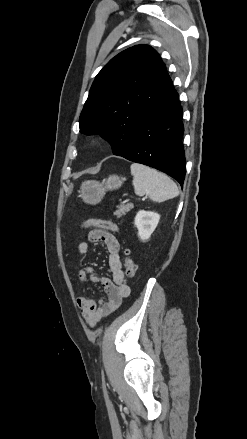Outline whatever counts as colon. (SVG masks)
<instances>
[{"instance_id":"obj_1","label":"colon","mask_w":247,"mask_h":439,"mask_svg":"<svg viewBox=\"0 0 247 439\" xmlns=\"http://www.w3.org/2000/svg\"><path fill=\"white\" fill-rule=\"evenodd\" d=\"M97 227L111 231H118V226L111 221L101 219H88L82 223V228ZM136 271V265L130 257V250H125L124 275L126 279H131Z\"/></svg>"}]
</instances>
